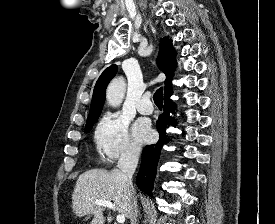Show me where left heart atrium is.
Masks as SVG:
<instances>
[{"mask_svg": "<svg viewBox=\"0 0 275 224\" xmlns=\"http://www.w3.org/2000/svg\"><path fill=\"white\" fill-rule=\"evenodd\" d=\"M133 134L136 141L140 144L146 143L152 138L150 126L143 120H138L133 126Z\"/></svg>", "mask_w": 275, "mask_h": 224, "instance_id": "1", "label": "left heart atrium"}]
</instances>
